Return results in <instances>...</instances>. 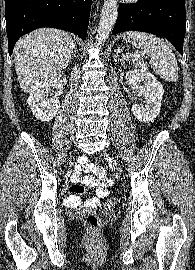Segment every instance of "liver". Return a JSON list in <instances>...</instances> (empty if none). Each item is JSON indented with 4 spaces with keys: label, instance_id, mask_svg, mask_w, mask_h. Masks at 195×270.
Masks as SVG:
<instances>
[{
    "label": "liver",
    "instance_id": "1",
    "mask_svg": "<svg viewBox=\"0 0 195 270\" xmlns=\"http://www.w3.org/2000/svg\"><path fill=\"white\" fill-rule=\"evenodd\" d=\"M75 42L64 32L41 28L20 38L14 48L21 89L31 93L41 82L59 75L72 59Z\"/></svg>",
    "mask_w": 195,
    "mask_h": 270
}]
</instances>
